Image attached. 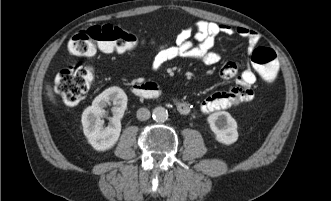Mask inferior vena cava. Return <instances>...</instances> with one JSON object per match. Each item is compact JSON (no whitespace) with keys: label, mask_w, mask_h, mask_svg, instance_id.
Segmentation results:
<instances>
[{"label":"inferior vena cava","mask_w":331,"mask_h":201,"mask_svg":"<svg viewBox=\"0 0 331 201\" xmlns=\"http://www.w3.org/2000/svg\"><path fill=\"white\" fill-rule=\"evenodd\" d=\"M136 115L138 120L141 121L148 120L151 116L150 111L147 108H139Z\"/></svg>","instance_id":"obj_1"}]
</instances>
